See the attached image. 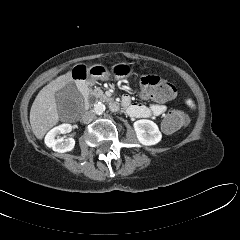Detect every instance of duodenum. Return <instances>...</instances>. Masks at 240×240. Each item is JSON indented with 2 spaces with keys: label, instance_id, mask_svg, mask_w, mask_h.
<instances>
[{
  "label": "duodenum",
  "instance_id": "obj_1",
  "mask_svg": "<svg viewBox=\"0 0 240 240\" xmlns=\"http://www.w3.org/2000/svg\"><path fill=\"white\" fill-rule=\"evenodd\" d=\"M77 86L80 91V93L83 95L85 99L88 98L90 88H89V80L87 77H77ZM110 109L112 111H118L120 109V104L116 101H111L110 102Z\"/></svg>",
  "mask_w": 240,
  "mask_h": 240
}]
</instances>
